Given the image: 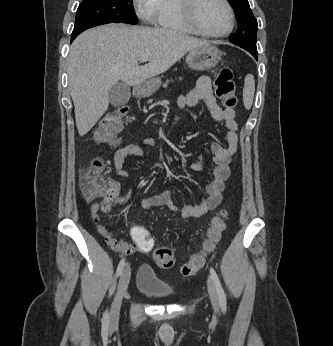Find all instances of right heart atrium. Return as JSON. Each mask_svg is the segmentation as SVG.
Instances as JSON below:
<instances>
[{"label": "right heart atrium", "instance_id": "right-heart-atrium-1", "mask_svg": "<svg viewBox=\"0 0 333 346\" xmlns=\"http://www.w3.org/2000/svg\"><path fill=\"white\" fill-rule=\"evenodd\" d=\"M133 4L140 19L153 23L161 8L162 0H133Z\"/></svg>", "mask_w": 333, "mask_h": 346}]
</instances>
